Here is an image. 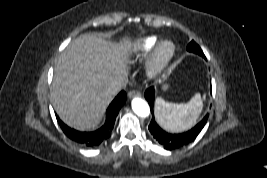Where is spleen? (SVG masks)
Masks as SVG:
<instances>
[{"instance_id": "spleen-1", "label": "spleen", "mask_w": 267, "mask_h": 178, "mask_svg": "<svg viewBox=\"0 0 267 178\" xmlns=\"http://www.w3.org/2000/svg\"><path fill=\"white\" fill-rule=\"evenodd\" d=\"M202 110L203 99L199 93L187 103H169L162 98L155 100L156 119L162 128L170 132H182L193 127Z\"/></svg>"}]
</instances>
